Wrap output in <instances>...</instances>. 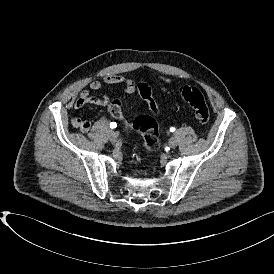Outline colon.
<instances>
[{"mask_svg": "<svg viewBox=\"0 0 274 274\" xmlns=\"http://www.w3.org/2000/svg\"><path fill=\"white\" fill-rule=\"evenodd\" d=\"M138 90L143 97H149L152 94L150 87L146 84H140ZM181 98L193 109L195 117L200 125H206L210 120V112L202 92L194 86H183L179 89ZM149 111L155 114L159 113L157 102L153 98L146 100ZM110 112L112 116L118 120H123V112L121 101H113L110 104ZM127 131H136L144 137L145 154L142 157L143 161H148L151 154L158 146V130L155 119L150 118L149 115H140L132 122L123 123Z\"/></svg>", "mask_w": 274, "mask_h": 274, "instance_id": "1", "label": "colon"}]
</instances>
